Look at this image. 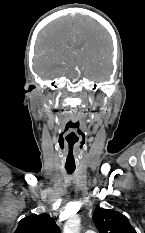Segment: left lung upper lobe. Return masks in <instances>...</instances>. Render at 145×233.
<instances>
[{"label":"left lung upper lobe","mask_w":145,"mask_h":233,"mask_svg":"<svg viewBox=\"0 0 145 233\" xmlns=\"http://www.w3.org/2000/svg\"><path fill=\"white\" fill-rule=\"evenodd\" d=\"M93 221L100 233H136L128 218L117 211L98 207Z\"/></svg>","instance_id":"left-lung-upper-lobe-1"}]
</instances>
